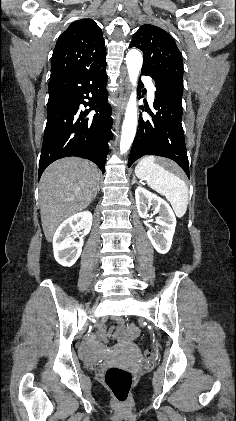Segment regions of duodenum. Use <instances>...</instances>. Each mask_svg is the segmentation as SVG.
<instances>
[{"label": "duodenum", "instance_id": "duodenum-1", "mask_svg": "<svg viewBox=\"0 0 236 421\" xmlns=\"http://www.w3.org/2000/svg\"><path fill=\"white\" fill-rule=\"evenodd\" d=\"M118 329L119 331L116 332V335L117 336L123 335L124 339L130 338L133 334L131 330L123 331V326L121 322H120V325L118 326ZM99 348L100 346L92 340H89L88 342H86V344L83 347L84 359L89 363H92L98 360L100 358Z\"/></svg>", "mask_w": 236, "mask_h": 421}]
</instances>
